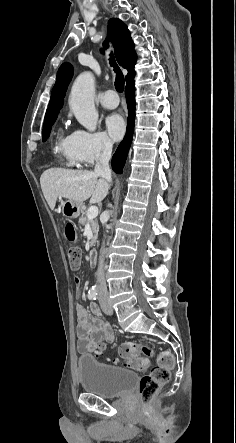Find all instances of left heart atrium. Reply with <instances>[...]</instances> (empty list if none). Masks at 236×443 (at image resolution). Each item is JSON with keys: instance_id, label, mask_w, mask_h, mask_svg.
Here are the masks:
<instances>
[{"instance_id": "1", "label": "left heart atrium", "mask_w": 236, "mask_h": 443, "mask_svg": "<svg viewBox=\"0 0 236 443\" xmlns=\"http://www.w3.org/2000/svg\"><path fill=\"white\" fill-rule=\"evenodd\" d=\"M104 127L109 139L113 141L119 140L125 130L124 121L118 114H109L104 119Z\"/></svg>"}]
</instances>
